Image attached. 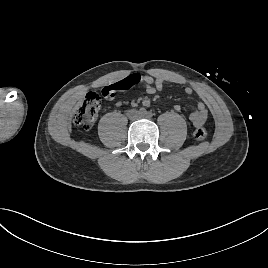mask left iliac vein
Wrapping results in <instances>:
<instances>
[{
    "mask_svg": "<svg viewBox=\"0 0 268 268\" xmlns=\"http://www.w3.org/2000/svg\"><path fill=\"white\" fill-rule=\"evenodd\" d=\"M139 117H140V118H144V117H147V116H146V115H142V114H141Z\"/></svg>",
    "mask_w": 268,
    "mask_h": 268,
    "instance_id": "left-iliac-vein-1",
    "label": "left iliac vein"
}]
</instances>
